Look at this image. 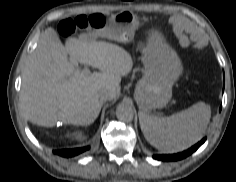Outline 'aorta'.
I'll use <instances>...</instances> for the list:
<instances>
[{
    "label": "aorta",
    "mask_w": 236,
    "mask_h": 182,
    "mask_svg": "<svg viewBox=\"0 0 236 182\" xmlns=\"http://www.w3.org/2000/svg\"><path fill=\"white\" fill-rule=\"evenodd\" d=\"M116 116L122 122H130L134 118L133 108L126 103H121L116 108Z\"/></svg>",
    "instance_id": "762f6f07"
}]
</instances>
